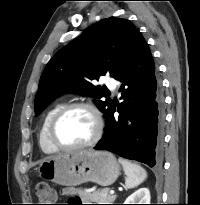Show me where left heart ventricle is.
Wrapping results in <instances>:
<instances>
[{"mask_svg":"<svg viewBox=\"0 0 200 205\" xmlns=\"http://www.w3.org/2000/svg\"><path fill=\"white\" fill-rule=\"evenodd\" d=\"M94 130L95 124L90 112L85 109H73L59 120L55 136L60 144L73 146L88 141Z\"/></svg>","mask_w":200,"mask_h":205,"instance_id":"b2bd125f","label":"left heart ventricle"}]
</instances>
